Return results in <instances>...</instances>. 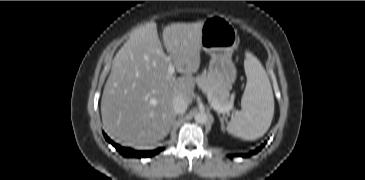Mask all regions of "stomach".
I'll list each match as a JSON object with an SVG mask.
<instances>
[{
    "label": "stomach",
    "mask_w": 365,
    "mask_h": 180,
    "mask_svg": "<svg viewBox=\"0 0 365 180\" xmlns=\"http://www.w3.org/2000/svg\"><path fill=\"white\" fill-rule=\"evenodd\" d=\"M238 40L237 30L227 19L211 16L203 21L201 48L211 56L208 74L226 87H230L236 79L232 54Z\"/></svg>",
    "instance_id": "1"
}]
</instances>
